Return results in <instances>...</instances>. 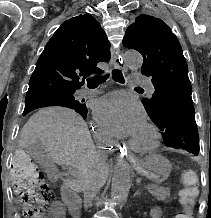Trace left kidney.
<instances>
[{
	"label": "left kidney",
	"instance_id": "obj_1",
	"mask_svg": "<svg viewBox=\"0 0 211 218\" xmlns=\"http://www.w3.org/2000/svg\"><path fill=\"white\" fill-rule=\"evenodd\" d=\"M162 207H153V210H150L151 218H162Z\"/></svg>",
	"mask_w": 211,
	"mask_h": 218
}]
</instances>
